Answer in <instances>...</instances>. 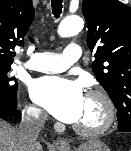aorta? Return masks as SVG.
Returning a JSON list of instances; mask_svg holds the SVG:
<instances>
[{
	"mask_svg": "<svg viewBox=\"0 0 131 151\" xmlns=\"http://www.w3.org/2000/svg\"><path fill=\"white\" fill-rule=\"evenodd\" d=\"M83 26L84 22L79 16H68L61 21L58 34L62 37L73 36L79 33Z\"/></svg>",
	"mask_w": 131,
	"mask_h": 151,
	"instance_id": "obj_1",
	"label": "aorta"
}]
</instances>
